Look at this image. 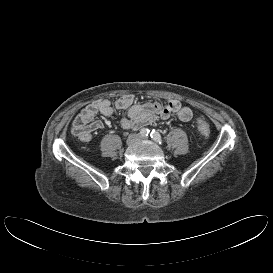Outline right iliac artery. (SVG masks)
I'll return each instance as SVG.
<instances>
[{
	"instance_id": "right-iliac-artery-1",
	"label": "right iliac artery",
	"mask_w": 273,
	"mask_h": 273,
	"mask_svg": "<svg viewBox=\"0 0 273 273\" xmlns=\"http://www.w3.org/2000/svg\"><path fill=\"white\" fill-rule=\"evenodd\" d=\"M149 133H150V130L147 129V128H143L140 131V135L143 136V137H147L149 135Z\"/></svg>"
}]
</instances>
